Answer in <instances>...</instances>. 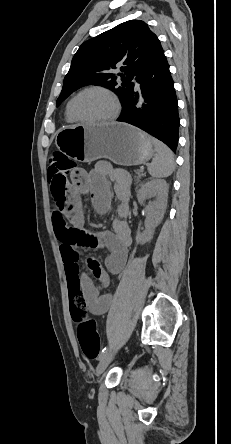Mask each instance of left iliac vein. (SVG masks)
<instances>
[{
	"instance_id": "left-iliac-vein-1",
	"label": "left iliac vein",
	"mask_w": 231,
	"mask_h": 444,
	"mask_svg": "<svg viewBox=\"0 0 231 444\" xmlns=\"http://www.w3.org/2000/svg\"><path fill=\"white\" fill-rule=\"evenodd\" d=\"M114 350L107 351V353L100 359L97 368L96 373L97 375H101L103 371L107 368V366L110 364L112 358H113Z\"/></svg>"
}]
</instances>
